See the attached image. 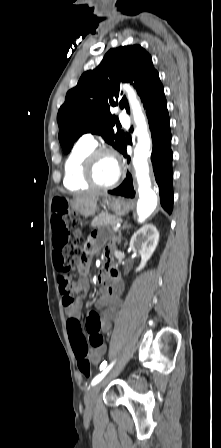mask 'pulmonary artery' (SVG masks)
<instances>
[{
    "label": "pulmonary artery",
    "instance_id": "e3ab8cb5",
    "mask_svg": "<svg viewBox=\"0 0 221 448\" xmlns=\"http://www.w3.org/2000/svg\"><path fill=\"white\" fill-rule=\"evenodd\" d=\"M118 117L123 124L129 123L128 117L123 111H118ZM80 142L92 147H95L97 144L94 136L90 133L83 134L80 138Z\"/></svg>",
    "mask_w": 221,
    "mask_h": 448
}]
</instances>
